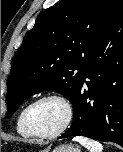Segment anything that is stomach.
Instances as JSON below:
<instances>
[{
  "label": "stomach",
  "mask_w": 123,
  "mask_h": 152,
  "mask_svg": "<svg viewBox=\"0 0 123 152\" xmlns=\"http://www.w3.org/2000/svg\"><path fill=\"white\" fill-rule=\"evenodd\" d=\"M52 152H81V150L77 146L67 144L56 147Z\"/></svg>",
  "instance_id": "1"
}]
</instances>
